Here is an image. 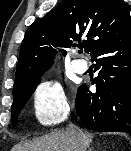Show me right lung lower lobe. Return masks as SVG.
<instances>
[{
    "label": "right lung lower lobe",
    "mask_w": 131,
    "mask_h": 151,
    "mask_svg": "<svg viewBox=\"0 0 131 151\" xmlns=\"http://www.w3.org/2000/svg\"><path fill=\"white\" fill-rule=\"evenodd\" d=\"M98 76L96 93L80 87L76 111L87 129L131 135V32L120 36L91 54Z\"/></svg>",
    "instance_id": "obj_1"
}]
</instances>
